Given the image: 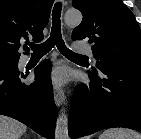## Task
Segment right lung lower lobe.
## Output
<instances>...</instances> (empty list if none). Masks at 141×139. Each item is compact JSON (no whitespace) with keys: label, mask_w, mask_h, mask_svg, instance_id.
<instances>
[{"label":"right lung lower lobe","mask_w":141,"mask_h":139,"mask_svg":"<svg viewBox=\"0 0 141 139\" xmlns=\"http://www.w3.org/2000/svg\"><path fill=\"white\" fill-rule=\"evenodd\" d=\"M51 64L42 62L35 69V82L26 85L27 74L18 69L0 71V114L12 117L38 134L54 139L57 109L50 79Z\"/></svg>","instance_id":"obj_1"}]
</instances>
